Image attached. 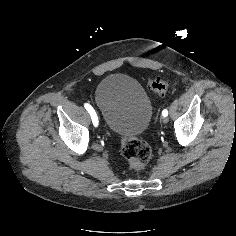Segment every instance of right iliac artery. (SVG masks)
<instances>
[{"mask_svg":"<svg viewBox=\"0 0 236 236\" xmlns=\"http://www.w3.org/2000/svg\"><path fill=\"white\" fill-rule=\"evenodd\" d=\"M84 107H85V109L88 111V113H89L90 116H91L92 125L98 129V128H99V127H98V125H99V119L97 118L96 111H95V110L93 109V107H92L90 104H88V103H85V104H84Z\"/></svg>","mask_w":236,"mask_h":236,"instance_id":"obj_1","label":"right iliac artery"}]
</instances>
